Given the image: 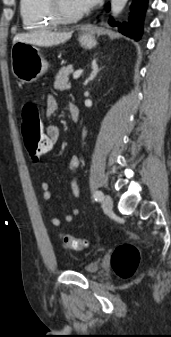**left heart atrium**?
<instances>
[{
    "label": "left heart atrium",
    "mask_w": 171,
    "mask_h": 337,
    "mask_svg": "<svg viewBox=\"0 0 171 337\" xmlns=\"http://www.w3.org/2000/svg\"><path fill=\"white\" fill-rule=\"evenodd\" d=\"M81 10H87L95 6L100 0H74Z\"/></svg>",
    "instance_id": "obj_1"
}]
</instances>
